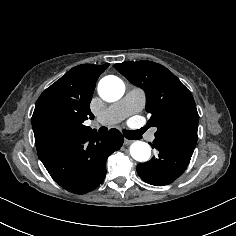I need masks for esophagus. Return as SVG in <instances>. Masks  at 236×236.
<instances>
[{
  "instance_id": "esophagus-1",
  "label": "esophagus",
  "mask_w": 236,
  "mask_h": 236,
  "mask_svg": "<svg viewBox=\"0 0 236 236\" xmlns=\"http://www.w3.org/2000/svg\"><path fill=\"white\" fill-rule=\"evenodd\" d=\"M130 143H132V140H128V139H125V140H124V144H125V145H128V144H130Z\"/></svg>"
}]
</instances>
